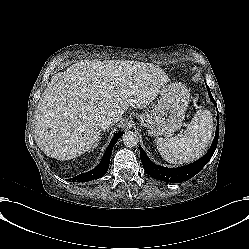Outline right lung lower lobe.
Here are the masks:
<instances>
[{"instance_id": "1", "label": "right lung lower lobe", "mask_w": 249, "mask_h": 249, "mask_svg": "<svg viewBox=\"0 0 249 249\" xmlns=\"http://www.w3.org/2000/svg\"><path fill=\"white\" fill-rule=\"evenodd\" d=\"M122 135H123V132H118L115 134V136L111 140L107 150L105 151L101 162L93 170L76 176L75 178H73V181L85 182V181H91L94 179H98V178H101L102 176H104L108 170V167H109L112 148L114 147V145L116 144V142L118 141V139Z\"/></svg>"}]
</instances>
